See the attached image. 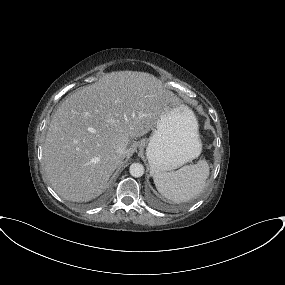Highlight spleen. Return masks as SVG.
<instances>
[{"label": "spleen", "mask_w": 285, "mask_h": 285, "mask_svg": "<svg viewBox=\"0 0 285 285\" xmlns=\"http://www.w3.org/2000/svg\"><path fill=\"white\" fill-rule=\"evenodd\" d=\"M210 167L206 160L186 165L177 171L156 173L154 183L162 196L175 203L187 202L198 196L205 188Z\"/></svg>", "instance_id": "3e777b00"}]
</instances>
